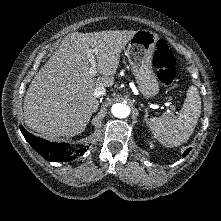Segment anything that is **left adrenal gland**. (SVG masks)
Listing matches in <instances>:
<instances>
[{
    "instance_id": "a2214340",
    "label": "left adrenal gland",
    "mask_w": 221,
    "mask_h": 221,
    "mask_svg": "<svg viewBox=\"0 0 221 221\" xmlns=\"http://www.w3.org/2000/svg\"><path fill=\"white\" fill-rule=\"evenodd\" d=\"M145 118H144V121L148 124V120H147V118H148V111H147V109H145Z\"/></svg>"
}]
</instances>
